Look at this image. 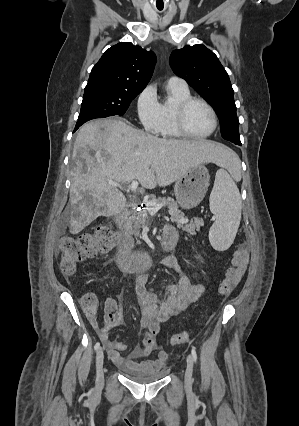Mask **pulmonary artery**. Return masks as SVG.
<instances>
[{
	"label": "pulmonary artery",
	"instance_id": "obj_1",
	"mask_svg": "<svg viewBox=\"0 0 299 426\" xmlns=\"http://www.w3.org/2000/svg\"><path fill=\"white\" fill-rule=\"evenodd\" d=\"M168 84L176 85L180 87H187V83L180 77L172 76L168 80Z\"/></svg>",
	"mask_w": 299,
	"mask_h": 426
}]
</instances>
